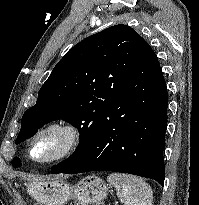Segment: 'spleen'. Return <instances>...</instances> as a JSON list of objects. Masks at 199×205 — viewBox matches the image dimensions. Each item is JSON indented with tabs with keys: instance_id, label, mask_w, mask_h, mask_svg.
<instances>
[{
	"instance_id": "obj_1",
	"label": "spleen",
	"mask_w": 199,
	"mask_h": 205,
	"mask_svg": "<svg viewBox=\"0 0 199 205\" xmlns=\"http://www.w3.org/2000/svg\"><path fill=\"white\" fill-rule=\"evenodd\" d=\"M107 181L116 188L124 205H153L151 187L142 179L129 174L112 173Z\"/></svg>"
}]
</instances>
